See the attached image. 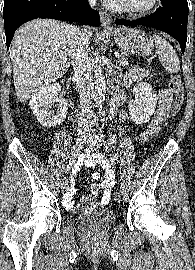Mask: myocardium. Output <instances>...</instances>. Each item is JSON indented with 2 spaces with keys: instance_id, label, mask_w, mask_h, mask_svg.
Returning a JSON list of instances; mask_svg holds the SVG:
<instances>
[{
  "instance_id": "obj_1",
  "label": "myocardium",
  "mask_w": 195,
  "mask_h": 270,
  "mask_svg": "<svg viewBox=\"0 0 195 270\" xmlns=\"http://www.w3.org/2000/svg\"><path fill=\"white\" fill-rule=\"evenodd\" d=\"M118 9L120 11L129 12L134 15H145L152 12L159 4V0H151V2L145 7H134L128 4L125 0H116Z\"/></svg>"
}]
</instances>
